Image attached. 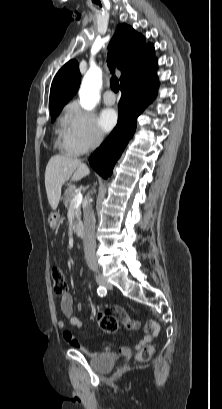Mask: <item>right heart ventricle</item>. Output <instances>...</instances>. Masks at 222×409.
<instances>
[{"label": "right heart ventricle", "instance_id": "obj_1", "mask_svg": "<svg viewBox=\"0 0 222 409\" xmlns=\"http://www.w3.org/2000/svg\"><path fill=\"white\" fill-rule=\"evenodd\" d=\"M60 133L62 134V133H63V130H61ZM62 145H63V147H64L69 153L75 154L72 150H70V149L66 146L65 139H64V135H63Z\"/></svg>", "mask_w": 222, "mask_h": 409}]
</instances>
